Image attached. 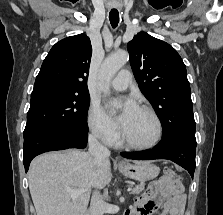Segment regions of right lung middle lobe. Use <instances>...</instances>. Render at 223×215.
<instances>
[{
  "instance_id": "obj_1",
  "label": "right lung middle lobe",
  "mask_w": 223,
  "mask_h": 215,
  "mask_svg": "<svg viewBox=\"0 0 223 215\" xmlns=\"http://www.w3.org/2000/svg\"><path fill=\"white\" fill-rule=\"evenodd\" d=\"M90 96L60 92L31 94L24 137L42 131L88 133L87 112Z\"/></svg>"
}]
</instances>
